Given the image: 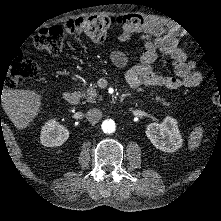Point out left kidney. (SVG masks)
Instances as JSON below:
<instances>
[{"label": "left kidney", "instance_id": "5707ae66", "mask_svg": "<svg viewBox=\"0 0 221 221\" xmlns=\"http://www.w3.org/2000/svg\"><path fill=\"white\" fill-rule=\"evenodd\" d=\"M146 136L157 149L163 152H175L184 144L178 121L171 115H166L162 123L149 124L146 127Z\"/></svg>", "mask_w": 221, "mask_h": 221}]
</instances>
